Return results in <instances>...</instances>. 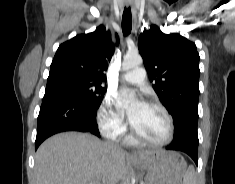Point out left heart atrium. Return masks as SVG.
Instances as JSON below:
<instances>
[{
    "label": "left heart atrium",
    "instance_id": "obj_1",
    "mask_svg": "<svg viewBox=\"0 0 235 184\" xmlns=\"http://www.w3.org/2000/svg\"><path fill=\"white\" fill-rule=\"evenodd\" d=\"M116 103L119 109L127 113L132 125H134L140 112L146 107V103L142 99H138L132 106H126L125 97L122 93L117 96Z\"/></svg>",
    "mask_w": 235,
    "mask_h": 184
}]
</instances>
